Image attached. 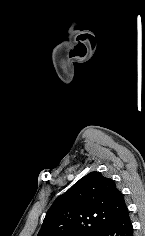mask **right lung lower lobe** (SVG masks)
Segmentation results:
<instances>
[{"mask_svg":"<svg viewBox=\"0 0 145 236\" xmlns=\"http://www.w3.org/2000/svg\"><path fill=\"white\" fill-rule=\"evenodd\" d=\"M95 236H133V226L128 209L102 228Z\"/></svg>","mask_w":145,"mask_h":236,"instance_id":"1","label":"right lung lower lobe"}]
</instances>
